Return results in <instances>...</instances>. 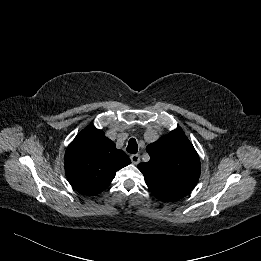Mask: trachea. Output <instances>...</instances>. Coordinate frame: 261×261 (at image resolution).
<instances>
[{
    "label": "trachea",
    "instance_id": "1",
    "mask_svg": "<svg viewBox=\"0 0 261 261\" xmlns=\"http://www.w3.org/2000/svg\"><path fill=\"white\" fill-rule=\"evenodd\" d=\"M127 152L130 154H136L138 152V144L134 138H131L128 142Z\"/></svg>",
    "mask_w": 261,
    "mask_h": 261
}]
</instances>
